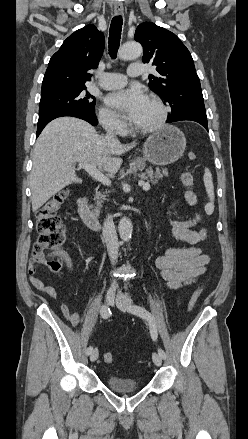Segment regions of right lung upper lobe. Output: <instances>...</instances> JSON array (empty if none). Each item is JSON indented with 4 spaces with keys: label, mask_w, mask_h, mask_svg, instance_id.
Here are the masks:
<instances>
[{
    "label": "right lung upper lobe",
    "mask_w": 248,
    "mask_h": 439,
    "mask_svg": "<svg viewBox=\"0 0 248 439\" xmlns=\"http://www.w3.org/2000/svg\"><path fill=\"white\" fill-rule=\"evenodd\" d=\"M104 44V35L92 24L71 34L49 61L41 95L85 87L91 79L87 71L97 68Z\"/></svg>",
    "instance_id": "obj_1"
}]
</instances>
